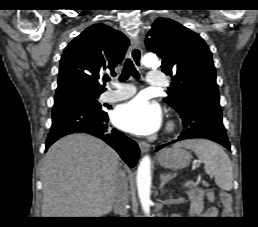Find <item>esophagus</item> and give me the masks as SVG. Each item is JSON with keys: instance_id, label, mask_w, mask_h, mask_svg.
I'll return each mask as SVG.
<instances>
[{"instance_id": "esophagus-1", "label": "esophagus", "mask_w": 258, "mask_h": 227, "mask_svg": "<svg viewBox=\"0 0 258 227\" xmlns=\"http://www.w3.org/2000/svg\"><path fill=\"white\" fill-rule=\"evenodd\" d=\"M135 51H138V52H135ZM130 55H131L132 60L136 64V66L139 68H142V63H141L142 50H141V45H140L139 40H135L134 42H132L131 49H130ZM139 148L142 153H145V152L149 151L150 144L145 141H141V142H139Z\"/></svg>"}]
</instances>
